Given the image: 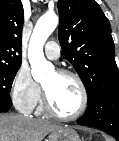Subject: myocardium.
I'll return each instance as SVG.
<instances>
[{"mask_svg":"<svg viewBox=\"0 0 119 141\" xmlns=\"http://www.w3.org/2000/svg\"><path fill=\"white\" fill-rule=\"evenodd\" d=\"M55 72L61 76H69L77 82L79 89H80V92H81V104H80V107L78 108V110L73 114L59 113L58 111H56L53 108V106L47 96V93H46L45 89L43 88V107H44V110L49 115H51L55 118L61 119V120H68L69 121V120L78 119L79 117H81L85 113V111L87 110V107H88L89 97H88L87 88H86L82 78L77 73H75L71 70H68V69H57Z\"/></svg>","mask_w":119,"mask_h":141,"instance_id":"myocardium-1","label":"myocardium"}]
</instances>
